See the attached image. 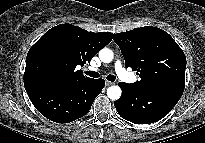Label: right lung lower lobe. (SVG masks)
<instances>
[{"label": "right lung lower lobe", "mask_w": 205, "mask_h": 143, "mask_svg": "<svg viewBox=\"0 0 205 143\" xmlns=\"http://www.w3.org/2000/svg\"><path fill=\"white\" fill-rule=\"evenodd\" d=\"M103 79L65 82L57 79H28L24 86L35 108L57 123H69L90 110L94 99L104 88Z\"/></svg>", "instance_id": "obj_1"}]
</instances>
